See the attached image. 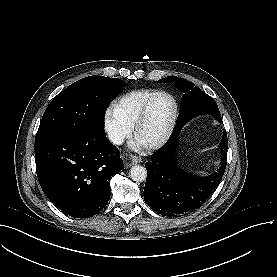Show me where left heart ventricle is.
<instances>
[{
	"instance_id": "1",
	"label": "left heart ventricle",
	"mask_w": 277,
	"mask_h": 277,
	"mask_svg": "<svg viewBox=\"0 0 277 277\" xmlns=\"http://www.w3.org/2000/svg\"><path fill=\"white\" fill-rule=\"evenodd\" d=\"M173 108V102L168 97L162 95L154 97L140 125L139 139L151 143L163 137L170 124Z\"/></svg>"
}]
</instances>
